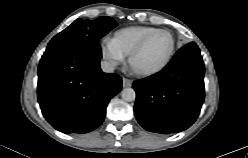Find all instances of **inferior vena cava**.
Returning <instances> with one entry per match:
<instances>
[{"label":"inferior vena cava","mask_w":248,"mask_h":158,"mask_svg":"<svg viewBox=\"0 0 248 158\" xmlns=\"http://www.w3.org/2000/svg\"><path fill=\"white\" fill-rule=\"evenodd\" d=\"M101 69L105 73H112L115 69V64L112 61H102Z\"/></svg>","instance_id":"602c4592"}]
</instances>
